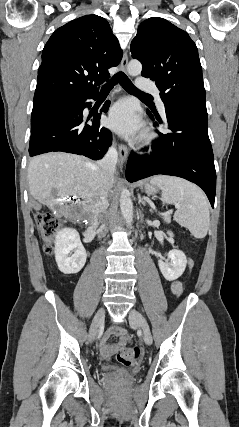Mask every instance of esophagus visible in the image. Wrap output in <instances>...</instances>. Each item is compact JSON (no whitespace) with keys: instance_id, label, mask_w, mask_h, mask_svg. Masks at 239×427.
<instances>
[{"instance_id":"1","label":"esophagus","mask_w":239,"mask_h":427,"mask_svg":"<svg viewBox=\"0 0 239 427\" xmlns=\"http://www.w3.org/2000/svg\"><path fill=\"white\" fill-rule=\"evenodd\" d=\"M127 65H128V55L127 52L124 53L123 58L121 60V70L126 73L127 72ZM118 153H119V157H120V161L123 164L127 157H128V149L124 144H119L118 145Z\"/></svg>"}]
</instances>
